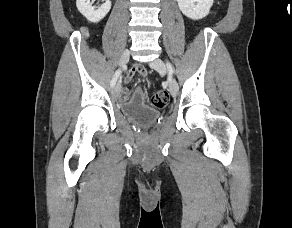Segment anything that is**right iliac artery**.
<instances>
[{
  "label": "right iliac artery",
  "mask_w": 292,
  "mask_h": 228,
  "mask_svg": "<svg viewBox=\"0 0 292 228\" xmlns=\"http://www.w3.org/2000/svg\"><path fill=\"white\" fill-rule=\"evenodd\" d=\"M121 72H122L121 69H118V70L115 72V74H114V76H113V78H112V80H111V87H114V86H115L116 81H117L118 77L120 76Z\"/></svg>",
  "instance_id": "right-iliac-artery-1"
}]
</instances>
